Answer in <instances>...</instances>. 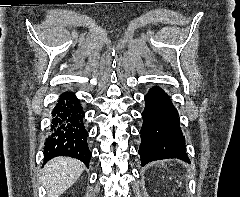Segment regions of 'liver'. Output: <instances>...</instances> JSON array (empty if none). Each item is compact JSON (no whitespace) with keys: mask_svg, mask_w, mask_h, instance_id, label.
Here are the masks:
<instances>
[{"mask_svg":"<svg viewBox=\"0 0 240 197\" xmlns=\"http://www.w3.org/2000/svg\"><path fill=\"white\" fill-rule=\"evenodd\" d=\"M84 165L70 157H56L50 160L42 172V183L47 197H59L79 178Z\"/></svg>","mask_w":240,"mask_h":197,"instance_id":"1","label":"liver"}]
</instances>
